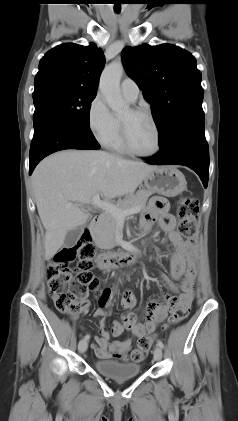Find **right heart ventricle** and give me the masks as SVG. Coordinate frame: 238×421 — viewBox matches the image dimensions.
<instances>
[{
    "mask_svg": "<svg viewBox=\"0 0 238 421\" xmlns=\"http://www.w3.org/2000/svg\"><path fill=\"white\" fill-rule=\"evenodd\" d=\"M109 149L118 152V153H122V154H126L128 153L126 148L123 145L122 139H121V135H120V124L118 121V129L116 134L114 135V137L105 144Z\"/></svg>",
    "mask_w": 238,
    "mask_h": 421,
    "instance_id": "1",
    "label": "right heart ventricle"
}]
</instances>
